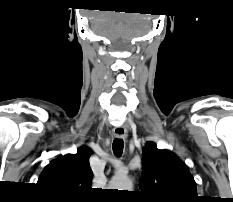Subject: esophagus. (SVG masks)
<instances>
[{
    "instance_id": "obj_1",
    "label": "esophagus",
    "mask_w": 233,
    "mask_h": 202,
    "mask_svg": "<svg viewBox=\"0 0 233 202\" xmlns=\"http://www.w3.org/2000/svg\"><path fill=\"white\" fill-rule=\"evenodd\" d=\"M113 133L117 138H124L127 135L126 129L123 126L115 127Z\"/></svg>"
}]
</instances>
